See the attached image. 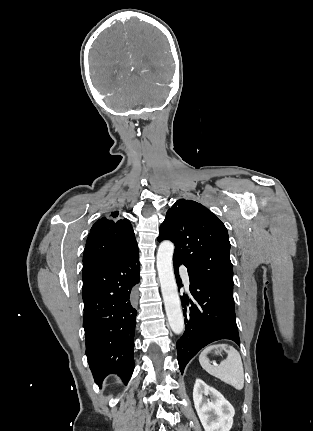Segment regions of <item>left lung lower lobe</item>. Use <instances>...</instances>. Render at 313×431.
Returning a JSON list of instances; mask_svg holds the SVG:
<instances>
[{
	"mask_svg": "<svg viewBox=\"0 0 313 431\" xmlns=\"http://www.w3.org/2000/svg\"><path fill=\"white\" fill-rule=\"evenodd\" d=\"M174 261L175 275L178 279V267ZM190 293L181 297L185 316V332L177 342L178 363L183 373L187 363L206 345L229 339L240 345L236 324L233 291L226 288L194 280L190 274ZM179 282L181 283L180 279ZM179 288L181 285L177 283ZM191 304L189 309L186 306Z\"/></svg>",
	"mask_w": 313,
	"mask_h": 431,
	"instance_id": "left-lung-lower-lobe-1",
	"label": "left lung lower lobe"
}]
</instances>
